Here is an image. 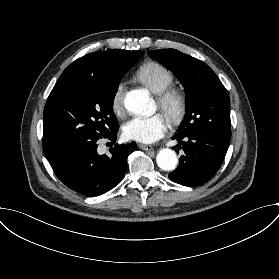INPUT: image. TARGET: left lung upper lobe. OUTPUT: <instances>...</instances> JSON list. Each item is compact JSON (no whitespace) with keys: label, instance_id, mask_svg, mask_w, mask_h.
Returning <instances> with one entry per match:
<instances>
[{"label":"left lung upper lobe","instance_id":"left-lung-upper-lobe-1","mask_svg":"<svg viewBox=\"0 0 279 279\" xmlns=\"http://www.w3.org/2000/svg\"><path fill=\"white\" fill-rule=\"evenodd\" d=\"M148 54L171 69L185 88L186 114L176 135L205 130L231 135L228 93L207 64L175 49Z\"/></svg>","mask_w":279,"mask_h":279}]
</instances>
